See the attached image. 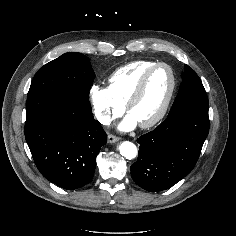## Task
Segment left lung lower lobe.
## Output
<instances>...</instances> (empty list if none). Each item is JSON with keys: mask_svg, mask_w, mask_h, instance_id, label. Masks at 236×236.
<instances>
[{"mask_svg": "<svg viewBox=\"0 0 236 236\" xmlns=\"http://www.w3.org/2000/svg\"><path fill=\"white\" fill-rule=\"evenodd\" d=\"M208 132V114L185 111L169 115L138 138V159L131 165L134 182L149 192L175 185L194 168Z\"/></svg>", "mask_w": 236, "mask_h": 236, "instance_id": "obj_1", "label": "left lung lower lobe"}]
</instances>
